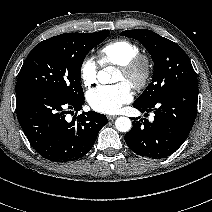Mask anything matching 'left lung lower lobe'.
<instances>
[{
	"label": "left lung lower lobe",
	"mask_w": 212,
	"mask_h": 212,
	"mask_svg": "<svg viewBox=\"0 0 212 212\" xmlns=\"http://www.w3.org/2000/svg\"><path fill=\"white\" fill-rule=\"evenodd\" d=\"M198 85L176 89L147 104L134 102L140 112L154 111L153 122L134 118L125 135L129 148L140 156L162 159L174 153L186 140L197 113ZM146 113V114H147Z\"/></svg>",
	"instance_id": "1"
}]
</instances>
